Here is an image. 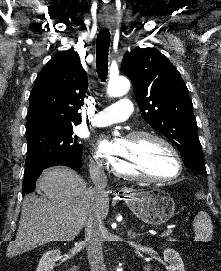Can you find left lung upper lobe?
I'll return each instance as SVG.
<instances>
[{"label":"left lung upper lobe","instance_id":"obj_1","mask_svg":"<svg viewBox=\"0 0 221 271\" xmlns=\"http://www.w3.org/2000/svg\"><path fill=\"white\" fill-rule=\"evenodd\" d=\"M122 71L145 121L177 146L186 167L207 175L193 104L176 67L152 48H136L125 53Z\"/></svg>","mask_w":221,"mask_h":271}]
</instances>
